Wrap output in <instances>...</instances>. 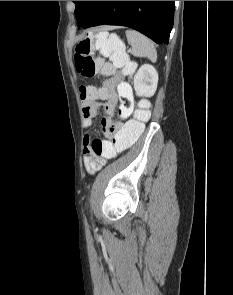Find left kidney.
I'll return each instance as SVG.
<instances>
[{"label":"left kidney","instance_id":"1","mask_svg":"<svg viewBox=\"0 0 233 295\" xmlns=\"http://www.w3.org/2000/svg\"><path fill=\"white\" fill-rule=\"evenodd\" d=\"M158 73L150 64L142 65L134 76V90L137 96L152 97L157 89Z\"/></svg>","mask_w":233,"mask_h":295}]
</instances>
